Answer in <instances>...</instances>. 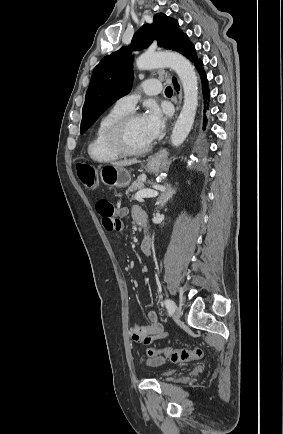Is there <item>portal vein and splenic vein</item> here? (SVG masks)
<instances>
[{"instance_id": "portal-vein-and-splenic-vein-1", "label": "portal vein and splenic vein", "mask_w": 283, "mask_h": 434, "mask_svg": "<svg viewBox=\"0 0 283 434\" xmlns=\"http://www.w3.org/2000/svg\"><path fill=\"white\" fill-rule=\"evenodd\" d=\"M158 195V192L156 190L152 189H144L140 190L135 194V199L137 201H142L144 198H152L156 197Z\"/></svg>"}]
</instances>
